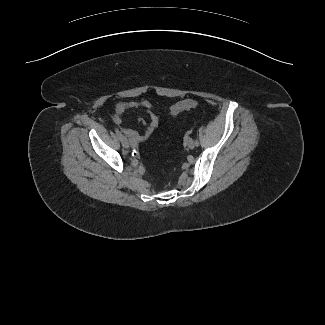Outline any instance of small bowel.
I'll return each instance as SVG.
<instances>
[{
  "label": "small bowel",
  "mask_w": 325,
  "mask_h": 325,
  "mask_svg": "<svg viewBox=\"0 0 325 325\" xmlns=\"http://www.w3.org/2000/svg\"><path fill=\"white\" fill-rule=\"evenodd\" d=\"M132 109H142L146 111L149 115V120L145 121L143 119H138V121L144 126V133H139L130 128H122L123 133L130 139L133 145H136L138 142L144 140L148 137L154 130L158 127L159 116L154 111L152 104L147 101H120L114 106V120L116 123L121 124L124 122V119L121 117L123 112L132 110Z\"/></svg>",
  "instance_id": "1"
}]
</instances>
